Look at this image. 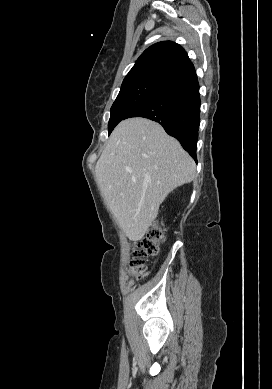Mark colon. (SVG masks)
Masks as SVG:
<instances>
[{
    "mask_svg": "<svg viewBox=\"0 0 272 389\" xmlns=\"http://www.w3.org/2000/svg\"><path fill=\"white\" fill-rule=\"evenodd\" d=\"M165 240V231L161 222L155 223L146 235L133 246V258L130 262L131 273L140 278L146 274V258L157 254L159 245Z\"/></svg>",
    "mask_w": 272,
    "mask_h": 389,
    "instance_id": "colon-1",
    "label": "colon"
}]
</instances>
